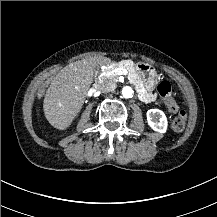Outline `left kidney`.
Here are the masks:
<instances>
[{
    "mask_svg": "<svg viewBox=\"0 0 217 217\" xmlns=\"http://www.w3.org/2000/svg\"><path fill=\"white\" fill-rule=\"evenodd\" d=\"M159 120L157 121V119ZM146 119L149 127L158 133L164 134L168 130V119L165 113L159 109H149L146 112Z\"/></svg>",
    "mask_w": 217,
    "mask_h": 217,
    "instance_id": "1",
    "label": "left kidney"
}]
</instances>
